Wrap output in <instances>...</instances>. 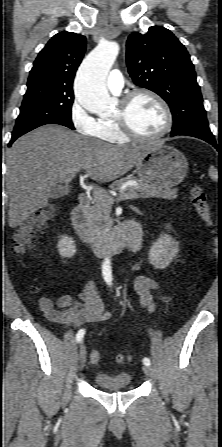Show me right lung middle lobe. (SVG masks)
Segmentation results:
<instances>
[{
    "label": "right lung middle lobe",
    "instance_id": "right-lung-middle-lobe-1",
    "mask_svg": "<svg viewBox=\"0 0 222 447\" xmlns=\"http://www.w3.org/2000/svg\"><path fill=\"white\" fill-rule=\"evenodd\" d=\"M72 92L54 89L47 85L27 89L12 137L21 135L45 124H59L74 129L71 120Z\"/></svg>",
    "mask_w": 222,
    "mask_h": 447
}]
</instances>
